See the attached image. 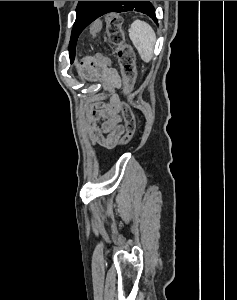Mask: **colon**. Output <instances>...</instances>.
I'll use <instances>...</instances> for the list:
<instances>
[{
    "instance_id": "1",
    "label": "colon",
    "mask_w": 237,
    "mask_h": 300,
    "mask_svg": "<svg viewBox=\"0 0 237 300\" xmlns=\"http://www.w3.org/2000/svg\"><path fill=\"white\" fill-rule=\"evenodd\" d=\"M102 21L96 20L92 23L90 31L92 35H96L102 28ZM104 24L109 41L114 46V52L120 67L123 81V100L120 104V111L125 123V132L119 140V145L128 144L134 136L136 129V121L133 111L127 101L128 96L132 92L135 82V54L132 47L126 43L122 31V18L116 13L108 14L104 19ZM89 63L96 66H107L109 58L96 54L87 58Z\"/></svg>"
}]
</instances>
